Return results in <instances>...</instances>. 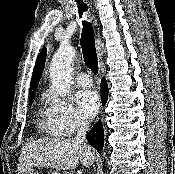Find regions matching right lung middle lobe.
<instances>
[{"label":"right lung middle lobe","instance_id":"obj_1","mask_svg":"<svg viewBox=\"0 0 175 174\" xmlns=\"http://www.w3.org/2000/svg\"><path fill=\"white\" fill-rule=\"evenodd\" d=\"M29 102H30V104H31V102H32V99H30V100H29Z\"/></svg>","mask_w":175,"mask_h":174}]
</instances>
